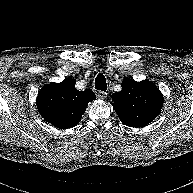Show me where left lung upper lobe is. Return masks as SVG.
<instances>
[{
    "label": "left lung upper lobe",
    "mask_w": 193,
    "mask_h": 193,
    "mask_svg": "<svg viewBox=\"0 0 193 193\" xmlns=\"http://www.w3.org/2000/svg\"><path fill=\"white\" fill-rule=\"evenodd\" d=\"M121 86L122 90L112 95V106L124 125L143 127L159 115L163 95L153 82L124 78Z\"/></svg>",
    "instance_id": "5c2ea615"
}]
</instances>
